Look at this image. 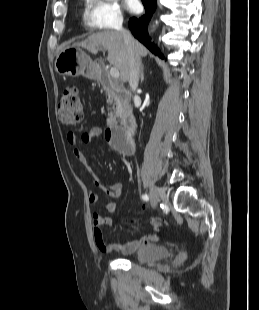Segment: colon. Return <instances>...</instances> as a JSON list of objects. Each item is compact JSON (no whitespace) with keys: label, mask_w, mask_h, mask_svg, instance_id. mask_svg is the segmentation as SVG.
<instances>
[{"label":"colon","mask_w":259,"mask_h":310,"mask_svg":"<svg viewBox=\"0 0 259 310\" xmlns=\"http://www.w3.org/2000/svg\"><path fill=\"white\" fill-rule=\"evenodd\" d=\"M83 115L82 103L79 90L76 87H66L61 95L58 105V118L65 125H77L81 122ZM132 223V219H127ZM152 224L161 226L163 222L158 219L152 220Z\"/></svg>","instance_id":"1"}]
</instances>
